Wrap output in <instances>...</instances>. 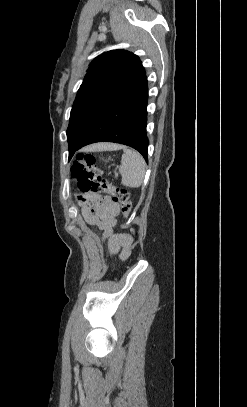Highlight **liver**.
<instances>
[{"mask_svg":"<svg viewBox=\"0 0 247 407\" xmlns=\"http://www.w3.org/2000/svg\"><path fill=\"white\" fill-rule=\"evenodd\" d=\"M118 147V145L115 144H110V143H101V144H97L91 147V149L94 150H112V149H116Z\"/></svg>","mask_w":247,"mask_h":407,"instance_id":"1","label":"liver"}]
</instances>
